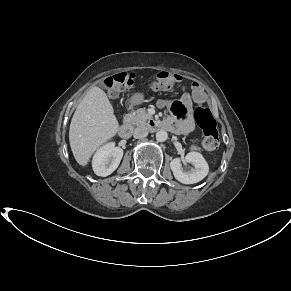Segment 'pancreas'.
Returning a JSON list of instances; mask_svg holds the SVG:
<instances>
[{"instance_id": "1", "label": "pancreas", "mask_w": 291, "mask_h": 291, "mask_svg": "<svg viewBox=\"0 0 291 291\" xmlns=\"http://www.w3.org/2000/svg\"><path fill=\"white\" fill-rule=\"evenodd\" d=\"M150 118L151 116L147 113L146 108H140L129 114L130 122L134 125L146 124L147 120Z\"/></svg>"}]
</instances>
